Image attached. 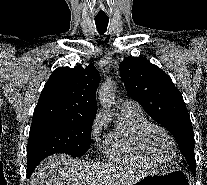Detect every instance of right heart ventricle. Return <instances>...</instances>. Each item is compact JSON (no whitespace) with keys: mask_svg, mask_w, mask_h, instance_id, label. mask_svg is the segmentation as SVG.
I'll use <instances>...</instances> for the list:
<instances>
[{"mask_svg":"<svg viewBox=\"0 0 207 185\" xmlns=\"http://www.w3.org/2000/svg\"><path fill=\"white\" fill-rule=\"evenodd\" d=\"M149 124L137 111L121 110L116 127L103 142V152L111 160L127 164L151 166L156 163L143 149L140 134Z\"/></svg>","mask_w":207,"mask_h":185,"instance_id":"1","label":"right heart ventricle"}]
</instances>
